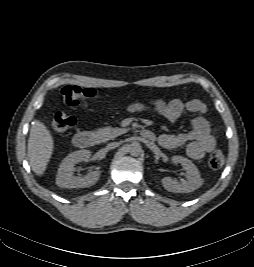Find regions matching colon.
<instances>
[{"label":"colon","mask_w":254,"mask_h":267,"mask_svg":"<svg viewBox=\"0 0 254 267\" xmlns=\"http://www.w3.org/2000/svg\"><path fill=\"white\" fill-rule=\"evenodd\" d=\"M63 102L68 107H76L83 102H87L96 96V92L91 88H81L78 86H66L61 91ZM155 109L162 110V106L156 105ZM76 124V119L64 112H56L51 122V131L55 134L64 133ZM212 169H220L224 164V155L221 151L212 152L208 160Z\"/></svg>","instance_id":"obj_1"}]
</instances>
